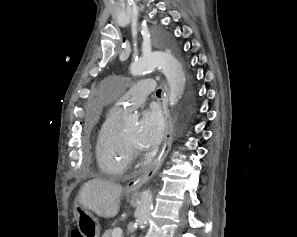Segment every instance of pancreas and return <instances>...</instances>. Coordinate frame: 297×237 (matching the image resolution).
<instances>
[{
  "label": "pancreas",
  "mask_w": 297,
  "mask_h": 237,
  "mask_svg": "<svg viewBox=\"0 0 297 237\" xmlns=\"http://www.w3.org/2000/svg\"><path fill=\"white\" fill-rule=\"evenodd\" d=\"M112 233H113L112 229L106 230L102 235V237H112Z\"/></svg>",
  "instance_id": "1"
}]
</instances>
